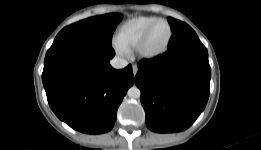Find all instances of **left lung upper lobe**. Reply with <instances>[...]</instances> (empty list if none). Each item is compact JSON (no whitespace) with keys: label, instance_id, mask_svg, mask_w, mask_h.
I'll use <instances>...</instances> for the list:
<instances>
[{"label":"left lung upper lobe","instance_id":"left-lung-upper-lobe-1","mask_svg":"<svg viewBox=\"0 0 261 150\" xmlns=\"http://www.w3.org/2000/svg\"><path fill=\"white\" fill-rule=\"evenodd\" d=\"M168 21L170 23V26L172 28V31L173 33L184 28L187 24L179 21V20H176V19H173V18H168Z\"/></svg>","mask_w":261,"mask_h":150}]
</instances>
